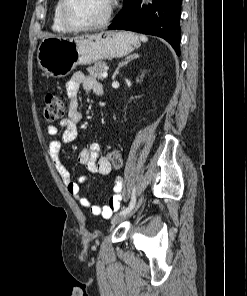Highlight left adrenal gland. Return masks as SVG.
<instances>
[{"instance_id":"obj_1","label":"left adrenal gland","mask_w":247,"mask_h":296,"mask_svg":"<svg viewBox=\"0 0 247 296\" xmlns=\"http://www.w3.org/2000/svg\"><path fill=\"white\" fill-rule=\"evenodd\" d=\"M138 57H140L139 54H132V55L127 56L124 61L120 62L118 64L115 72L112 75V80H114L116 78V76L119 74V70L121 67H123L124 65H127L130 61L137 59Z\"/></svg>"}]
</instances>
